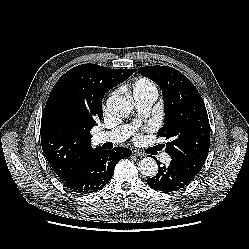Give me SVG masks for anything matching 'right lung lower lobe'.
Returning a JSON list of instances; mask_svg holds the SVG:
<instances>
[{
    "label": "right lung lower lobe",
    "mask_w": 249,
    "mask_h": 249,
    "mask_svg": "<svg viewBox=\"0 0 249 249\" xmlns=\"http://www.w3.org/2000/svg\"><path fill=\"white\" fill-rule=\"evenodd\" d=\"M116 151L109 150L96 153L93 150L66 176V185L77 192L94 191L102 188L113 175L115 165L121 158L130 157L131 150L115 147Z\"/></svg>",
    "instance_id": "obj_1"
}]
</instances>
